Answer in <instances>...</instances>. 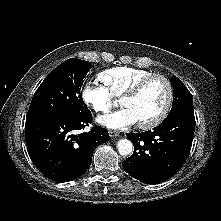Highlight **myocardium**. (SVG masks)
I'll return each instance as SVG.
<instances>
[{
  "label": "myocardium",
  "mask_w": 221,
  "mask_h": 221,
  "mask_svg": "<svg viewBox=\"0 0 221 221\" xmlns=\"http://www.w3.org/2000/svg\"><path fill=\"white\" fill-rule=\"evenodd\" d=\"M153 79H160L165 83V85L167 87V99H166V102H165L162 110L159 112V114L157 116H155L153 119H151L149 121L137 123L138 127L141 129L154 128V127L158 126L159 124H161L165 120V118L167 117V115L172 107L173 100H174V88H173L171 81L169 80L168 77H166L163 74L151 73V74L139 79L121 97V101L125 100V99H132V98L137 97L140 94V92L142 91V89L145 87V85Z\"/></svg>",
  "instance_id": "myocardium-1"
}]
</instances>
